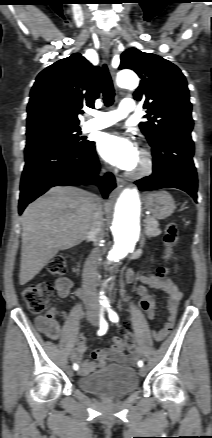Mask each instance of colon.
Segmentation results:
<instances>
[{"label":"colon","mask_w":212,"mask_h":438,"mask_svg":"<svg viewBox=\"0 0 212 438\" xmlns=\"http://www.w3.org/2000/svg\"><path fill=\"white\" fill-rule=\"evenodd\" d=\"M178 227L172 223L166 227L163 242V260L169 264L175 259L174 247L177 241ZM67 266V260L64 255L54 256L48 264V272L52 275L62 274ZM167 265L161 266L157 270V277L165 280L169 274ZM53 295V289L48 283H30L23 290V297L29 310L33 313H41L50 301ZM155 304V296L152 293H147L142 296L138 302V307L147 316L153 310ZM128 327V326H127ZM125 345L131 349L134 346V335L130 330L125 333Z\"/></svg>","instance_id":"1"}]
</instances>
